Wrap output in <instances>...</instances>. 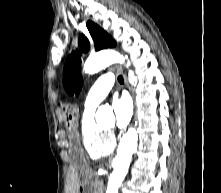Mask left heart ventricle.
I'll return each mask as SVG.
<instances>
[{
    "label": "left heart ventricle",
    "mask_w": 221,
    "mask_h": 193,
    "mask_svg": "<svg viewBox=\"0 0 221 193\" xmlns=\"http://www.w3.org/2000/svg\"><path fill=\"white\" fill-rule=\"evenodd\" d=\"M110 125H112V121H109L106 123V126H110Z\"/></svg>",
    "instance_id": "obj_1"
}]
</instances>
